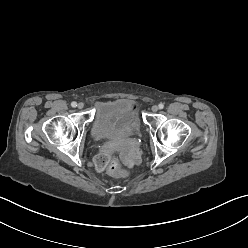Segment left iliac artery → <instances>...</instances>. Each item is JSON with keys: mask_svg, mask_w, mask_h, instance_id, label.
Here are the masks:
<instances>
[{"mask_svg": "<svg viewBox=\"0 0 248 248\" xmlns=\"http://www.w3.org/2000/svg\"><path fill=\"white\" fill-rule=\"evenodd\" d=\"M158 106H159L160 109H163L164 108V104L163 103H160Z\"/></svg>", "mask_w": 248, "mask_h": 248, "instance_id": "44dca946", "label": "left iliac artery"}]
</instances>
